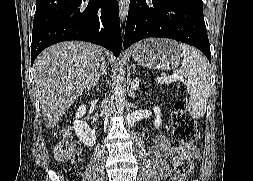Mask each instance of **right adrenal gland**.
Instances as JSON below:
<instances>
[{
  "mask_svg": "<svg viewBox=\"0 0 253 181\" xmlns=\"http://www.w3.org/2000/svg\"><path fill=\"white\" fill-rule=\"evenodd\" d=\"M101 75H107V67L104 69L103 73Z\"/></svg>",
  "mask_w": 253,
  "mask_h": 181,
  "instance_id": "1",
  "label": "right adrenal gland"
}]
</instances>
